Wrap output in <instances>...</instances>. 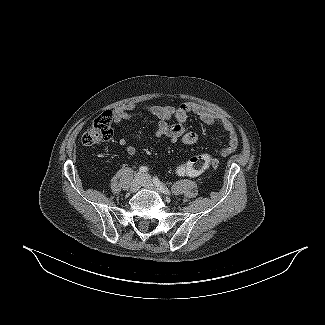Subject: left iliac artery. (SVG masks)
Segmentation results:
<instances>
[{
  "label": "left iliac artery",
  "instance_id": "obj_1",
  "mask_svg": "<svg viewBox=\"0 0 325 325\" xmlns=\"http://www.w3.org/2000/svg\"><path fill=\"white\" fill-rule=\"evenodd\" d=\"M153 183L161 192L170 195V190L158 179V177H153Z\"/></svg>",
  "mask_w": 325,
  "mask_h": 325
}]
</instances>
